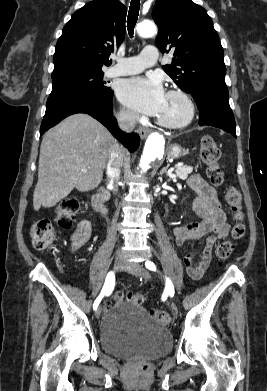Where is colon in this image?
<instances>
[{
  "label": "colon",
  "mask_w": 267,
  "mask_h": 391,
  "mask_svg": "<svg viewBox=\"0 0 267 391\" xmlns=\"http://www.w3.org/2000/svg\"><path fill=\"white\" fill-rule=\"evenodd\" d=\"M219 157L220 149L218 144L211 136H204L201 140L200 158L206 166V172L210 182L215 186L221 185L224 179L218 164ZM225 200L236 221L231 231V237L233 240H239L243 238L246 233V226L242 222L244 213L242 211L241 195L235 187L229 186L225 189ZM80 210V202L77 199H65L56 207L55 222L62 228H71L74 225ZM30 237L35 249L46 250L55 239V230L52 223L47 219L36 221L30 228ZM234 247V243L231 240L222 242L217 248L218 258L220 260L228 259L231 256ZM124 299L128 302L140 305L144 302L145 297L141 293H128L125 296L121 292H115L112 295V300L115 302L123 301ZM150 313L165 326H168L171 323L170 315L165 311L152 309Z\"/></svg>",
  "instance_id": "5ec220e1"
}]
</instances>
